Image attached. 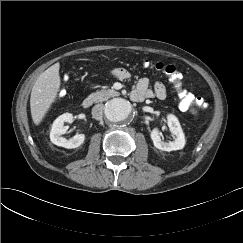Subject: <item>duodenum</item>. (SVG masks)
Here are the masks:
<instances>
[{
	"mask_svg": "<svg viewBox=\"0 0 243 243\" xmlns=\"http://www.w3.org/2000/svg\"><path fill=\"white\" fill-rule=\"evenodd\" d=\"M131 98H132V100H134V101H140V100H142L141 97H135V96H133L132 94H131ZM92 104H93V100H92L91 98H89V97L85 98V99L82 101V107L85 108V109L91 107Z\"/></svg>",
	"mask_w": 243,
	"mask_h": 243,
	"instance_id": "duodenum-1",
	"label": "duodenum"
}]
</instances>
